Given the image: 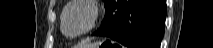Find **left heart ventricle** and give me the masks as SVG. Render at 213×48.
Returning a JSON list of instances; mask_svg holds the SVG:
<instances>
[{"mask_svg": "<svg viewBox=\"0 0 213 48\" xmlns=\"http://www.w3.org/2000/svg\"><path fill=\"white\" fill-rule=\"evenodd\" d=\"M92 12L84 5L71 7L65 16V30L69 33H79L85 30L91 21Z\"/></svg>", "mask_w": 213, "mask_h": 48, "instance_id": "left-heart-ventricle-1", "label": "left heart ventricle"}]
</instances>
